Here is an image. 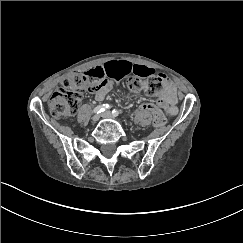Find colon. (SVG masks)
<instances>
[{
  "label": "colon",
  "instance_id": "1",
  "mask_svg": "<svg viewBox=\"0 0 243 243\" xmlns=\"http://www.w3.org/2000/svg\"><path fill=\"white\" fill-rule=\"evenodd\" d=\"M99 76L89 74H72L66 77L61 87L55 91L49 100L50 114L56 118H67L72 116L81 102L85 92L94 91L99 86ZM127 87L131 92H144L149 96H156L165 87L161 77H152L146 80L141 78H130ZM143 109L151 113L153 125L163 127L167 123L164 114L153 104L143 105Z\"/></svg>",
  "mask_w": 243,
  "mask_h": 243
}]
</instances>
